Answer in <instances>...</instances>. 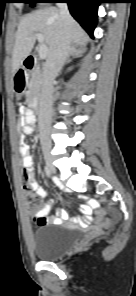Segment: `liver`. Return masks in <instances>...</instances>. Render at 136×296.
Here are the masks:
<instances>
[{
  "instance_id": "6515ba94",
  "label": "liver",
  "mask_w": 136,
  "mask_h": 296,
  "mask_svg": "<svg viewBox=\"0 0 136 296\" xmlns=\"http://www.w3.org/2000/svg\"><path fill=\"white\" fill-rule=\"evenodd\" d=\"M61 18L59 9L49 6L26 15L19 23L12 55V71L16 73L23 61L30 55L35 41L36 33H41L44 43L48 46V55L55 46ZM71 42L85 45L88 36L80 25L71 17L70 19Z\"/></svg>"
}]
</instances>
